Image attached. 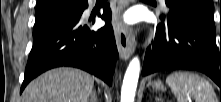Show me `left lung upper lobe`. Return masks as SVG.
Masks as SVG:
<instances>
[{"instance_id": "5c2ea615", "label": "left lung upper lobe", "mask_w": 221, "mask_h": 102, "mask_svg": "<svg viewBox=\"0 0 221 102\" xmlns=\"http://www.w3.org/2000/svg\"><path fill=\"white\" fill-rule=\"evenodd\" d=\"M165 2L169 7V13L171 11H187L214 26V5L212 0H165Z\"/></svg>"}]
</instances>
